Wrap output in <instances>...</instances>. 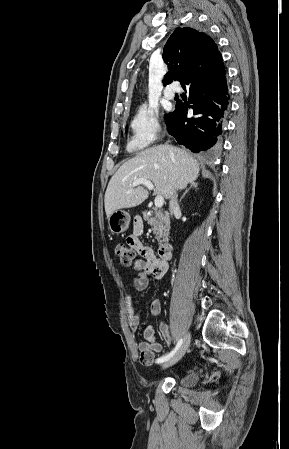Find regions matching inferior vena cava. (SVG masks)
I'll return each mask as SVG.
<instances>
[{"mask_svg": "<svg viewBox=\"0 0 289 449\" xmlns=\"http://www.w3.org/2000/svg\"><path fill=\"white\" fill-rule=\"evenodd\" d=\"M169 211L170 214L173 215L179 211V206L177 202V194L174 193L171 197V200L169 202Z\"/></svg>", "mask_w": 289, "mask_h": 449, "instance_id": "obj_1", "label": "inferior vena cava"}]
</instances>
